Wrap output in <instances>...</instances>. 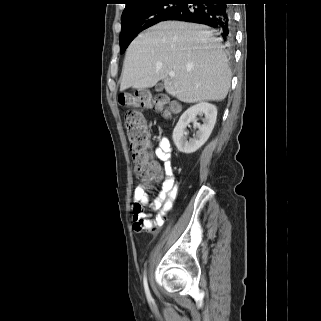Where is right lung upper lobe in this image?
I'll return each mask as SVG.
<instances>
[{"label":"right lung upper lobe","mask_w":321,"mask_h":321,"mask_svg":"<svg viewBox=\"0 0 321 321\" xmlns=\"http://www.w3.org/2000/svg\"><path fill=\"white\" fill-rule=\"evenodd\" d=\"M126 7L122 13V17L133 13L138 8H141L143 5L147 4V2L154 0H125Z\"/></svg>","instance_id":"obj_1"}]
</instances>
